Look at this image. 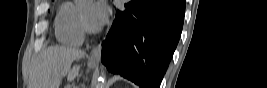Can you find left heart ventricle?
<instances>
[{
  "mask_svg": "<svg viewBox=\"0 0 267 88\" xmlns=\"http://www.w3.org/2000/svg\"><path fill=\"white\" fill-rule=\"evenodd\" d=\"M91 6L90 5H86L82 8V13L84 15V18L86 19V21L89 23V12H90ZM90 24V23H89ZM91 25V24H90Z\"/></svg>",
  "mask_w": 267,
  "mask_h": 88,
  "instance_id": "obj_1",
  "label": "left heart ventricle"
}]
</instances>
